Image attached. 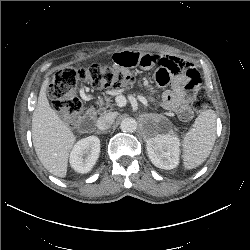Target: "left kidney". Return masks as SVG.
I'll list each match as a JSON object with an SVG mask.
<instances>
[{
  "label": "left kidney",
  "instance_id": "obj_1",
  "mask_svg": "<svg viewBox=\"0 0 250 250\" xmlns=\"http://www.w3.org/2000/svg\"><path fill=\"white\" fill-rule=\"evenodd\" d=\"M151 162L158 168L171 170L178 166L180 157V140L173 133L158 135L146 144Z\"/></svg>",
  "mask_w": 250,
  "mask_h": 250
}]
</instances>
